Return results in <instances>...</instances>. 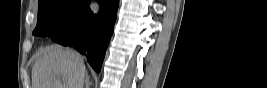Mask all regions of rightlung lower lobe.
<instances>
[{"label":"right lung lower lobe","mask_w":267,"mask_h":88,"mask_svg":"<svg viewBox=\"0 0 267 88\" xmlns=\"http://www.w3.org/2000/svg\"><path fill=\"white\" fill-rule=\"evenodd\" d=\"M99 12L88 7L80 19L52 38L55 42L73 46L87 56V61L100 72L107 46L113 34L119 0H98Z\"/></svg>","instance_id":"obj_1"}]
</instances>
